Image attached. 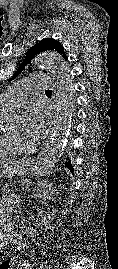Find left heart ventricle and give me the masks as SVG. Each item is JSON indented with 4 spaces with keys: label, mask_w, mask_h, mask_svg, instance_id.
<instances>
[{
    "label": "left heart ventricle",
    "mask_w": 118,
    "mask_h": 269,
    "mask_svg": "<svg viewBox=\"0 0 118 269\" xmlns=\"http://www.w3.org/2000/svg\"><path fill=\"white\" fill-rule=\"evenodd\" d=\"M16 132L18 134H22L23 133V127H22V123L21 122H19V124H18V126L16 128Z\"/></svg>",
    "instance_id": "obj_1"
}]
</instances>
